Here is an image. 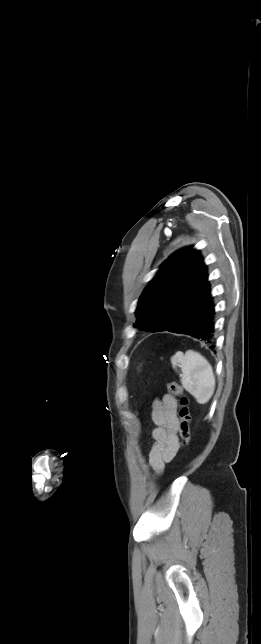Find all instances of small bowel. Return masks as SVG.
Wrapping results in <instances>:
<instances>
[{
  "mask_svg": "<svg viewBox=\"0 0 261 644\" xmlns=\"http://www.w3.org/2000/svg\"><path fill=\"white\" fill-rule=\"evenodd\" d=\"M152 420L155 427L151 432L153 445L149 452L148 466L157 474H161L179 449L176 398L166 394L161 399L154 400Z\"/></svg>",
  "mask_w": 261,
  "mask_h": 644,
  "instance_id": "c3829d8e",
  "label": "small bowel"
}]
</instances>
